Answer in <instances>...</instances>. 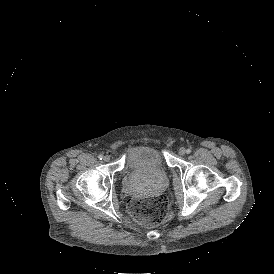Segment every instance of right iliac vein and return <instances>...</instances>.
<instances>
[{"instance_id": "1", "label": "right iliac vein", "mask_w": 274, "mask_h": 274, "mask_svg": "<svg viewBox=\"0 0 274 274\" xmlns=\"http://www.w3.org/2000/svg\"><path fill=\"white\" fill-rule=\"evenodd\" d=\"M110 159H111V156L110 155H105L104 157H103V160L105 161V162H109L110 161Z\"/></svg>"}]
</instances>
